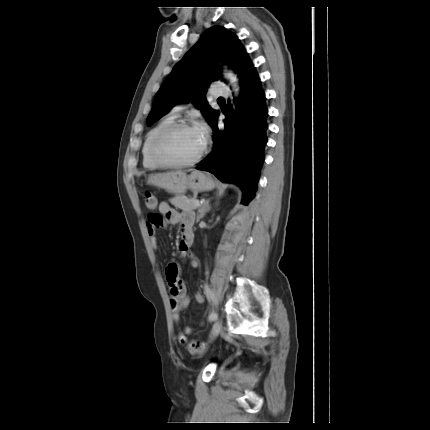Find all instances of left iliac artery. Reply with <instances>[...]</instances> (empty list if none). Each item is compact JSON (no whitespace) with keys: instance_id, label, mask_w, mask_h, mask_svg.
<instances>
[{"instance_id":"1","label":"left iliac artery","mask_w":430,"mask_h":430,"mask_svg":"<svg viewBox=\"0 0 430 430\" xmlns=\"http://www.w3.org/2000/svg\"><path fill=\"white\" fill-rule=\"evenodd\" d=\"M204 292H205L206 296H207L209 299H211V300H213V301L215 302L214 295H213V293L211 292V290H210V288L208 287V285H206V284L204 285ZM208 319H209V321H214V320H216V319H217V314H216V312L212 311V312L210 313V315L208 316Z\"/></svg>"}]
</instances>
